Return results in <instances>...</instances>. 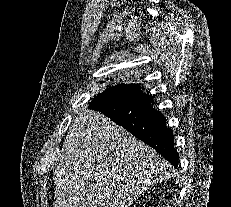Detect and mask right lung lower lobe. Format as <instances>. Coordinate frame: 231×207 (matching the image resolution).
Returning <instances> with one entry per match:
<instances>
[{
  "instance_id": "1",
  "label": "right lung lower lobe",
  "mask_w": 231,
  "mask_h": 207,
  "mask_svg": "<svg viewBox=\"0 0 231 207\" xmlns=\"http://www.w3.org/2000/svg\"><path fill=\"white\" fill-rule=\"evenodd\" d=\"M122 87L125 92L122 98L108 101L100 100L98 95L90 108L124 127L177 168L179 155L173 145L174 135L166 127L165 117L151 106L153 96L143 93L139 84H123Z\"/></svg>"
}]
</instances>
